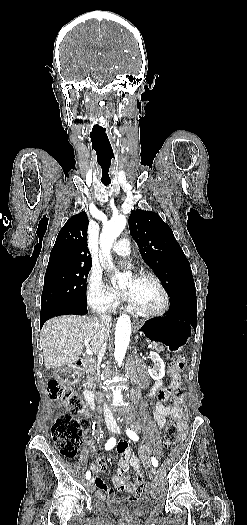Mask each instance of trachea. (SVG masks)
<instances>
[{"instance_id": "3493384b", "label": "trachea", "mask_w": 247, "mask_h": 525, "mask_svg": "<svg viewBox=\"0 0 247 525\" xmlns=\"http://www.w3.org/2000/svg\"><path fill=\"white\" fill-rule=\"evenodd\" d=\"M102 183H103L106 187H108L109 184H110V182H105V181H102Z\"/></svg>"}]
</instances>
